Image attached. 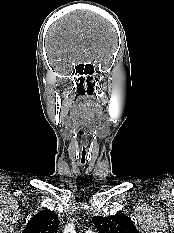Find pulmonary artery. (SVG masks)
Masks as SVG:
<instances>
[{"instance_id":"1","label":"pulmonary artery","mask_w":174,"mask_h":233,"mask_svg":"<svg viewBox=\"0 0 174 233\" xmlns=\"http://www.w3.org/2000/svg\"><path fill=\"white\" fill-rule=\"evenodd\" d=\"M86 233H94V232H92V231H86Z\"/></svg>"}]
</instances>
